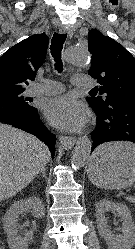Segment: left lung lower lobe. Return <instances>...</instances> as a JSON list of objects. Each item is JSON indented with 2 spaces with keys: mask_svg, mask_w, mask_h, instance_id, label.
I'll use <instances>...</instances> for the list:
<instances>
[{
  "mask_svg": "<svg viewBox=\"0 0 135 249\" xmlns=\"http://www.w3.org/2000/svg\"><path fill=\"white\" fill-rule=\"evenodd\" d=\"M97 115L95 130L91 133V152L101 143L126 140L135 143V102H112L106 108L91 106Z\"/></svg>",
  "mask_w": 135,
  "mask_h": 249,
  "instance_id": "0a47b994",
  "label": "left lung lower lobe"
}]
</instances>
